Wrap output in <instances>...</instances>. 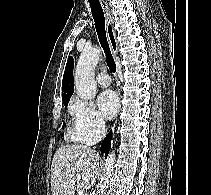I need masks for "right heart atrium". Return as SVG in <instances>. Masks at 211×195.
<instances>
[{"label":"right heart atrium","mask_w":211,"mask_h":195,"mask_svg":"<svg viewBox=\"0 0 211 195\" xmlns=\"http://www.w3.org/2000/svg\"><path fill=\"white\" fill-rule=\"evenodd\" d=\"M73 120L72 135L82 143L93 144L105 133V121L90 104L75 99L70 106Z\"/></svg>","instance_id":"1"}]
</instances>
